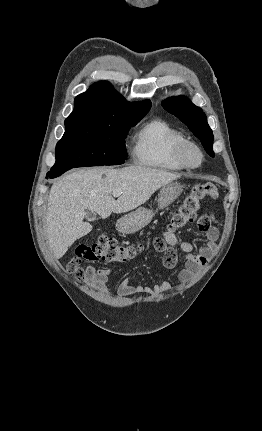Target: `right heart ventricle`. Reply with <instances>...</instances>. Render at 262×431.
<instances>
[{
  "mask_svg": "<svg viewBox=\"0 0 262 431\" xmlns=\"http://www.w3.org/2000/svg\"><path fill=\"white\" fill-rule=\"evenodd\" d=\"M185 136L168 122L154 118L140 126L135 135L134 157L143 166L168 171L183 170L176 158Z\"/></svg>",
  "mask_w": 262,
  "mask_h": 431,
  "instance_id": "1",
  "label": "right heart ventricle"
}]
</instances>
